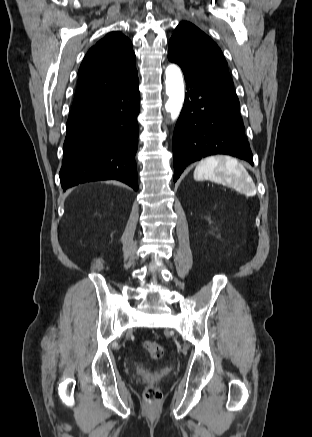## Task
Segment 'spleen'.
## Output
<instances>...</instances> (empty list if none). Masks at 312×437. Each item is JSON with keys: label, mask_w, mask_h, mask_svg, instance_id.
Returning a JSON list of instances; mask_svg holds the SVG:
<instances>
[{"label": "spleen", "mask_w": 312, "mask_h": 437, "mask_svg": "<svg viewBox=\"0 0 312 437\" xmlns=\"http://www.w3.org/2000/svg\"><path fill=\"white\" fill-rule=\"evenodd\" d=\"M195 180H212L234 187L248 196L256 194L255 184L244 166L230 156H211L194 170Z\"/></svg>", "instance_id": "3e777b00"}]
</instances>
